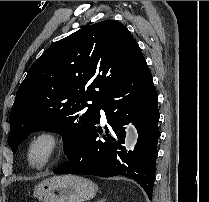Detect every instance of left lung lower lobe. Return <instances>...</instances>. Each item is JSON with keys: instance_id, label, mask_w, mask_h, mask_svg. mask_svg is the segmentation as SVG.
Returning <instances> with one entry per match:
<instances>
[{"instance_id": "obj_1", "label": "left lung lower lobe", "mask_w": 209, "mask_h": 202, "mask_svg": "<svg viewBox=\"0 0 209 202\" xmlns=\"http://www.w3.org/2000/svg\"><path fill=\"white\" fill-rule=\"evenodd\" d=\"M100 109L105 111L108 122L104 130L96 126L100 122ZM159 117L157 92L145 63L99 101L84 138L70 148L68 161L54 173L125 176L139 183L151 199ZM129 122L134 123L139 137L134 151L127 153L121 144L126 136L124 125Z\"/></svg>"}]
</instances>
